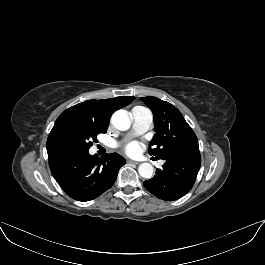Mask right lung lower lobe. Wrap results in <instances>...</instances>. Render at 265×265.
<instances>
[{
    "label": "right lung lower lobe",
    "mask_w": 265,
    "mask_h": 265,
    "mask_svg": "<svg viewBox=\"0 0 265 265\" xmlns=\"http://www.w3.org/2000/svg\"><path fill=\"white\" fill-rule=\"evenodd\" d=\"M51 172L71 198L90 201L108 190L115 182L125 159L117 154H106L101 159L87 153L61 154L51 157Z\"/></svg>",
    "instance_id": "right-lung-lower-lobe-1"
}]
</instances>
